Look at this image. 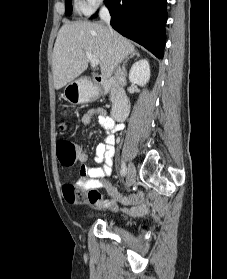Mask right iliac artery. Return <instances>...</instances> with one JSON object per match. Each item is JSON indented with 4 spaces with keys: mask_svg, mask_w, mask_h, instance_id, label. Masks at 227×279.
<instances>
[{
    "mask_svg": "<svg viewBox=\"0 0 227 279\" xmlns=\"http://www.w3.org/2000/svg\"><path fill=\"white\" fill-rule=\"evenodd\" d=\"M120 173H121L122 177H125V175L127 173V169L124 164H122V166H121Z\"/></svg>",
    "mask_w": 227,
    "mask_h": 279,
    "instance_id": "right-iliac-artery-1",
    "label": "right iliac artery"
}]
</instances>
